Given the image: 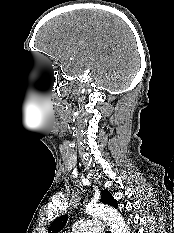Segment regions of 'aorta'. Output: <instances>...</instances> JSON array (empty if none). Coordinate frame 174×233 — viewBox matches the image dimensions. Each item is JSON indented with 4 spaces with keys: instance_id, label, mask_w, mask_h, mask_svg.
Returning <instances> with one entry per match:
<instances>
[{
    "instance_id": "1",
    "label": "aorta",
    "mask_w": 174,
    "mask_h": 233,
    "mask_svg": "<svg viewBox=\"0 0 174 233\" xmlns=\"http://www.w3.org/2000/svg\"><path fill=\"white\" fill-rule=\"evenodd\" d=\"M86 213L93 217L106 220L112 233H129L124 219L114 208L104 204H91L86 207Z\"/></svg>"
}]
</instances>
